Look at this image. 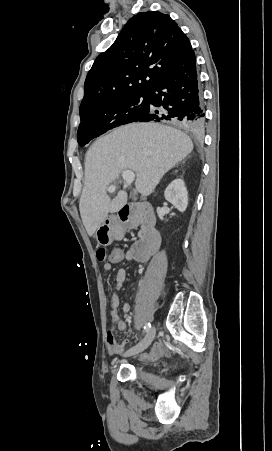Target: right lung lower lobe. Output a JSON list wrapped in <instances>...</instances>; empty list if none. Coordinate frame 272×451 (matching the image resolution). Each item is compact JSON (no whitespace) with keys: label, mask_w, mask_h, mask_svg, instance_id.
<instances>
[{"label":"right lung lower lobe","mask_w":272,"mask_h":451,"mask_svg":"<svg viewBox=\"0 0 272 451\" xmlns=\"http://www.w3.org/2000/svg\"><path fill=\"white\" fill-rule=\"evenodd\" d=\"M148 95L149 110L137 121H171L189 132L203 128L205 113L194 51L171 68ZM153 106H162L164 114Z\"/></svg>","instance_id":"1"}]
</instances>
